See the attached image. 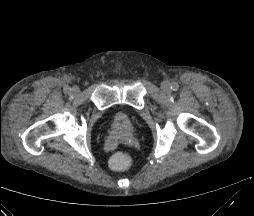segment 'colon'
Returning <instances> with one entry per match:
<instances>
[{
	"instance_id": "colon-1",
	"label": "colon",
	"mask_w": 254,
	"mask_h": 216,
	"mask_svg": "<svg viewBox=\"0 0 254 216\" xmlns=\"http://www.w3.org/2000/svg\"><path fill=\"white\" fill-rule=\"evenodd\" d=\"M131 164L129 155L125 152H118L114 154L108 161V165L112 170L123 171Z\"/></svg>"
}]
</instances>
